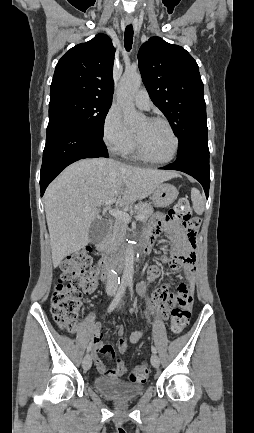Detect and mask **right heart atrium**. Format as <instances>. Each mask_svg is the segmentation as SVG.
<instances>
[{
    "label": "right heart atrium",
    "instance_id": "obj_1",
    "mask_svg": "<svg viewBox=\"0 0 254 433\" xmlns=\"http://www.w3.org/2000/svg\"><path fill=\"white\" fill-rule=\"evenodd\" d=\"M102 139L115 155H125L134 146V135L124 123L122 114L111 107L102 124Z\"/></svg>",
    "mask_w": 254,
    "mask_h": 433
}]
</instances>
